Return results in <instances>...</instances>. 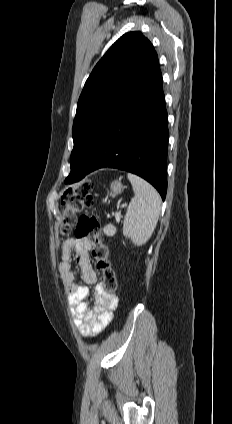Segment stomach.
I'll use <instances>...</instances> for the list:
<instances>
[{
    "label": "stomach",
    "mask_w": 232,
    "mask_h": 424,
    "mask_svg": "<svg viewBox=\"0 0 232 424\" xmlns=\"http://www.w3.org/2000/svg\"><path fill=\"white\" fill-rule=\"evenodd\" d=\"M111 189H112L111 195L116 196V195L121 193L123 188H122L121 183L116 181L114 184L111 185Z\"/></svg>",
    "instance_id": "0dacf381"
}]
</instances>
